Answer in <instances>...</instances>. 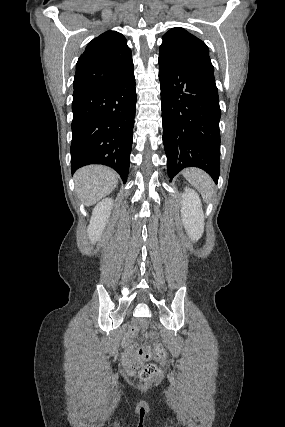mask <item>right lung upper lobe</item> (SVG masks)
<instances>
[{"label":"right lung upper lobe","instance_id":"obj_1","mask_svg":"<svg viewBox=\"0 0 285 427\" xmlns=\"http://www.w3.org/2000/svg\"><path fill=\"white\" fill-rule=\"evenodd\" d=\"M132 73V53L126 38L107 31L93 39L78 59L73 95L123 81Z\"/></svg>","mask_w":285,"mask_h":427}]
</instances>
